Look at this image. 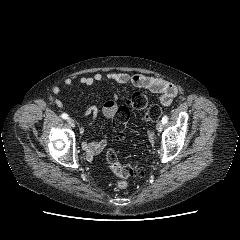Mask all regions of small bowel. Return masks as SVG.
<instances>
[{
  "instance_id": "c3829d8e",
  "label": "small bowel",
  "mask_w": 240,
  "mask_h": 240,
  "mask_svg": "<svg viewBox=\"0 0 240 240\" xmlns=\"http://www.w3.org/2000/svg\"><path fill=\"white\" fill-rule=\"evenodd\" d=\"M105 80H109L115 82L117 84H131L134 87L142 88L149 90L150 92L156 93L160 95V102L162 105L168 107L172 104L174 98L178 94L177 87L171 82L154 77L145 75L142 73H134L129 74L126 72H108L106 74L95 73L92 76H83L79 79V83L84 86H95L103 83ZM73 84V80L71 78H66L64 80V85L69 87ZM60 88L54 89V94L58 96L60 94ZM55 104L58 107H63L64 104L59 98H55ZM118 109V100L114 95L112 98L106 100L102 106V114L107 120L113 119L116 111ZM98 109L95 106L88 107L84 113V117H90V121L87 125H91L98 116ZM85 130V126L81 127V132L83 133ZM107 144L106 137L98 140L84 141L82 144L83 149L90 156L98 154L101 152Z\"/></svg>"
}]
</instances>
